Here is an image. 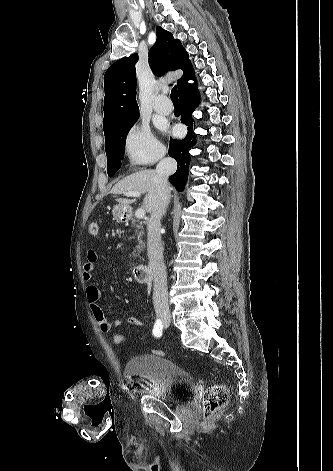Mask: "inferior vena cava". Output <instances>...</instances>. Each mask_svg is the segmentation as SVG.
Returning <instances> with one entry per match:
<instances>
[{
	"instance_id": "602c4592",
	"label": "inferior vena cava",
	"mask_w": 333,
	"mask_h": 471,
	"mask_svg": "<svg viewBox=\"0 0 333 471\" xmlns=\"http://www.w3.org/2000/svg\"><path fill=\"white\" fill-rule=\"evenodd\" d=\"M177 169V162L162 153L156 167L159 194L148 223L147 247L149 263L154 276L153 301L157 314L169 313L167 275L161 245L160 222L170 201L168 177Z\"/></svg>"
}]
</instances>
